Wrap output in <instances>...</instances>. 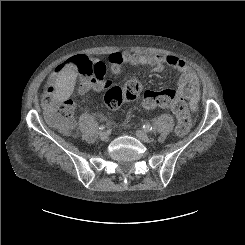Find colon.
Masks as SVG:
<instances>
[{
    "label": "colon",
    "mask_w": 245,
    "mask_h": 245,
    "mask_svg": "<svg viewBox=\"0 0 245 245\" xmlns=\"http://www.w3.org/2000/svg\"><path fill=\"white\" fill-rule=\"evenodd\" d=\"M71 65L82 76L97 80H103L105 77V64L88 56H74ZM141 89L142 83L138 78L128 80L123 87H109L104 95L105 106L108 110H116L125 101L136 99ZM142 101L146 108L170 109L177 119L176 134L184 136L188 133L191 126L189 106L177 91L170 89L147 91L144 93ZM43 103L49 123L63 135H68L73 128L72 101L69 98L60 97L56 92H48L44 95Z\"/></svg>",
    "instance_id": "1"
}]
</instances>
